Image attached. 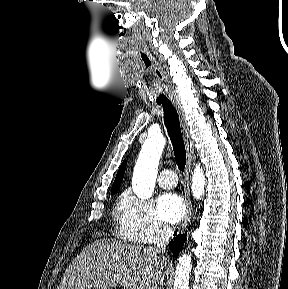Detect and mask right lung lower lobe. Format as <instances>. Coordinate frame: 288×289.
I'll use <instances>...</instances> for the list:
<instances>
[{
    "instance_id": "right-lung-lower-lobe-1",
    "label": "right lung lower lobe",
    "mask_w": 288,
    "mask_h": 289,
    "mask_svg": "<svg viewBox=\"0 0 288 289\" xmlns=\"http://www.w3.org/2000/svg\"><path fill=\"white\" fill-rule=\"evenodd\" d=\"M174 235H176V232L174 233ZM185 240H186L185 234L178 235V236H176L174 241L172 240L171 243L169 244L170 250L172 251L173 255L176 258L178 257V253H179L180 249L182 248Z\"/></svg>"
}]
</instances>
